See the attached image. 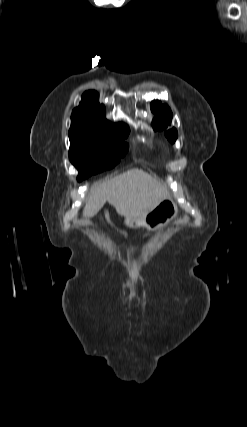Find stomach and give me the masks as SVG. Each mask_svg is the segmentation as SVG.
Masks as SVG:
<instances>
[{"mask_svg": "<svg viewBox=\"0 0 247 427\" xmlns=\"http://www.w3.org/2000/svg\"><path fill=\"white\" fill-rule=\"evenodd\" d=\"M178 215V206L170 197L160 202L153 210L145 216L128 218L126 226L130 228L145 227L149 230L162 228L170 223Z\"/></svg>", "mask_w": 247, "mask_h": 427, "instance_id": "0dacf381", "label": "stomach"}]
</instances>
